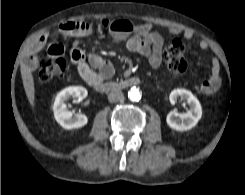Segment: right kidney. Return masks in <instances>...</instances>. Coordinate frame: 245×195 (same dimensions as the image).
I'll return each mask as SVG.
<instances>
[{
  "mask_svg": "<svg viewBox=\"0 0 245 195\" xmlns=\"http://www.w3.org/2000/svg\"><path fill=\"white\" fill-rule=\"evenodd\" d=\"M88 92L82 86H70L59 92L55 98L53 111L56 121L64 129H77L85 126L88 118L84 114H76L73 116L72 112L66 107V100L70 97L82 100L86 98Z\"/></svg>",
  "mask_w": 245,
  "mask_h": 195,
  "instance_id": "1",
  "label": "right kidney"
}]
</instances>
